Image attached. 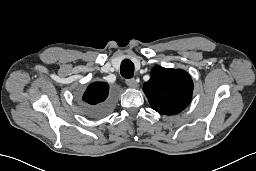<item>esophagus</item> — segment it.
<instances>
[{
    "label": "esophagus",
    "instance_id": "obj_1",
    "mask_svg": "<svg viewBox=\"0 0 256 171\" xmlns=\"http://www.w3.org/2000/svg\"><path fill=\"white\" fill-rule=\"evenodd\" d=\"M126 84L129 86V87H132V88H136L138 86L137 84V81L135 79H127L126 80Z\"/></svg>",
    "mask_w": 256,
    "mask_h": 171
}]
</instances>
